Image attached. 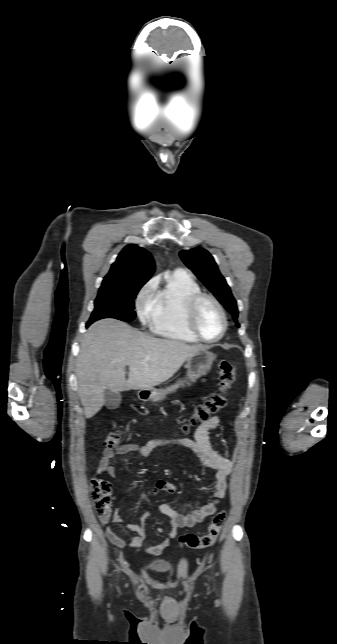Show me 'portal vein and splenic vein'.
<instances>
[{
    "mask_svg": "<svg viewBox=\"0 0 337 644\" xmlns=\"http://www.w3.org/2000/svg\"><path fill=\"white\" fill-rule=\"evenodd\" d=\"M140 363H141V364H146V361H141Z\"/></svg>",
    "mask_w": 337,
    "mask_h": 644,
    "instance_id": "portal-vein-and-splenic-vein-1",
    "label": "portal vein and splenic vein"
}]
</instances>
